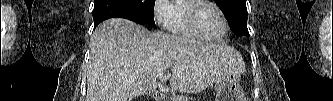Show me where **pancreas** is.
I'll return each mask as SVG.
<instances>
[{
  "label": "pancreas",
  "mask_w": 333,
  "mask_h": 101,
  "mask_svg": "<svg viewBox=\"0 0 333 101\" xmlns=\"http://www.w3.org/2000/svg\"><path fill=\"white\" fill-rule=\"evenodd\" d=\"M176 100H177V99H173V101H176ZM178 100H179V101H190V100H192V99L187 98V97H185V96H180Z\"/></svg>",
  "instance_id": "cf45deb5"
}]
</instances>
